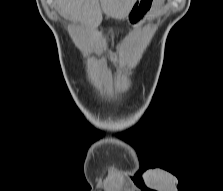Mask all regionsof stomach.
<instances>
[{
  "mask_svg": "<svg viewBox=\"0 0 223 191\" xmlns=\"http://www.w3.org/2000/svg\"><path fill=\"white\" fill-rule=\"evenodd\" d=\"M161 2L162 0H135L125 18L132 26H140L153 15Z\"/></svg>",
  "mask_w": 223,
  "mask_h": 191,
  "instance_id": "obj_1",
  "label": "stomach"
}]
</instances>
